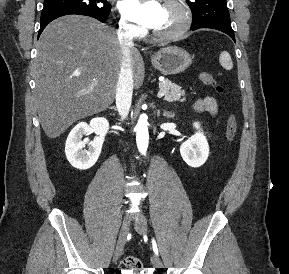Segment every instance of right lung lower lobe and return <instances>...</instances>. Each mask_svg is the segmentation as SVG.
Here are the masks:
<instances>
[{
    "label": "right lung lower lobe",
    "mask_w": 289,
    "mask_h": 274,
    "mask_svg": "<svg viewBox=\"0 0 289 274\" xmlns=\"http://www.w3.org/2000/svg\"><path fill=\"white\" fill-rule=\"evenodd\" d=\"M70 14H77V15H85V16H90L93 18L98 19L101 22H105L108 16H98V15H94V14H90V13H86V12H82V11H74V10H69V11H60V12H55V13H50V14H46L41 16V20H40V30L38 33V36H40V34L42 33V31L44 30V28L54 19L64 16V15H70Z\"/></svg>",
    "instance_id": "right-lung-lower-lobe-1"
}]
</instances>
